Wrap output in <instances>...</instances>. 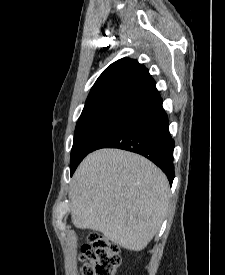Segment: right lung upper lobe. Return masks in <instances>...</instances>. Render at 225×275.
Wrapping results in <instances>:
<instances>
[{"mask_svg": "<svg viewBox=\"0 0 225 275\" xmlns=\"http://www.w3.org/2000/svg\"><path fill=\"white\" fill-rule=\"evenodd\" d=\"M160 100L148 69L133 59L123 58L99 76L79 120L104 113L129 115Z\"/></svg>", "mask_w": 225, "mask_h": 275, "instance_id": "cb5924a9", "label": "right lung upper lobe"}]
</instances>
